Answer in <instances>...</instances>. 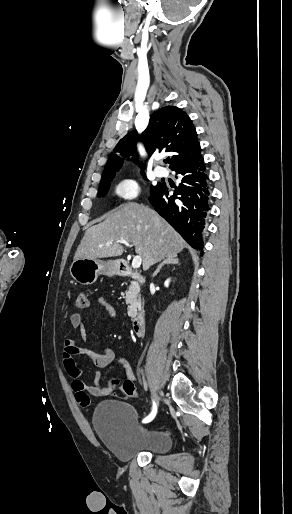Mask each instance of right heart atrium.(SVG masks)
I'll list each match as a JSON object with an SVG mask.
<instances>
[{"mask_svg":"<svg viewBox=\"0 0 292 514\" xmlns=\"http://www.w3.org/2000/svg\"><path fill=\"white\" fill-rule=\"evenodd\" d=\"M140 192V184L138 180L131 175L118 178L112 185L111 194L116 200H131L136 199Z\"/></svg>","mask_w":292,"mask_h":514,"instance_id":"obj_1","label":"right heart atrium"}]
</instances>
